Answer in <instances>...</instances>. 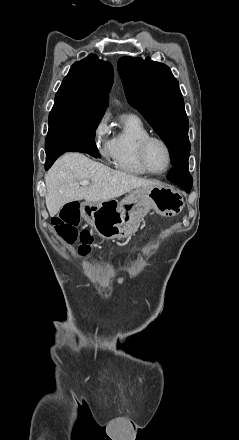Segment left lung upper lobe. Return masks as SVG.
<instances>
[{"label":"left lung upper lobe","instance_id":"5c2ea615","mask_svg":"<svg viewBox=\"0 0 239 440\" xmlns=\"http://www.w3.org/2000/svg\"><path fill=\"white\" fill-rule=\"evenodd\" d=\"M128 102L145 117L172 156V165L188 163V118L178 81L165 64L150 58L118 61Z\"/></svg>","mask_w":239,"mask_h":440}]
</instances>
